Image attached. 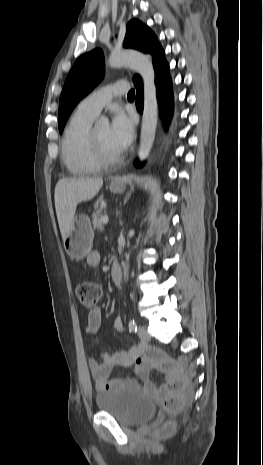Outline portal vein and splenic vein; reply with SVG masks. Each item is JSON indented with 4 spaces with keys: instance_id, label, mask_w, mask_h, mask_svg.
I'll return each instance as SVG.
<instances>
[{
    "instance_id": "portal-vein-and-splenic-vein-1",
    "label": "portal vein and splenic vein",
    "mask_w": 263,
    "mask_h": 465,
    "mask_svg": "<svg viewBox=\"0 0 263 465\" xmlns=\"http://www.w3.org/2000/svg\"><path fill=\"white\" fill-rule=\"evenodd\" d=\"M101 221L103 224H108V221H109V218L107 215H104L102 218H101Z\"/></svg>"
}]
</instances>
